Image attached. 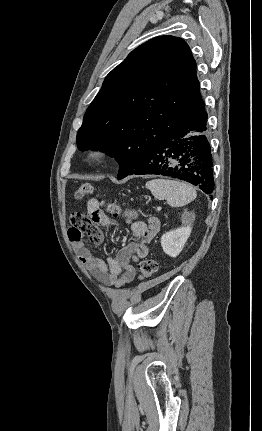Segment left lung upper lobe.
Returning a JSON list of instances; mask_svg holds the SVG:
<instances>
[{"mask_svg":"<svg viewBox=\"0 0 262 431\" xmlns=\"http://www.w3.org/2000/svg\"><path fill=\"white\" fill-rule=\"evenodd\" d=\"M189 46L173 36L133 50L105 78L77 133L80 150H100L120 164L118 179L205 106Z\"/></svg>","mask_w":262,"mask_h":431,"instance_id":"1","label":"left lung upper lobe"}]
</instances>
